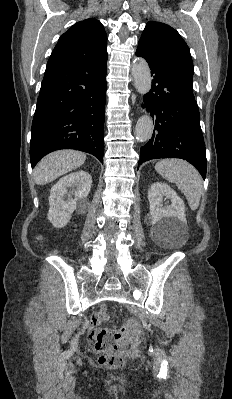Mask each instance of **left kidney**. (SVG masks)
<instances>
[{"mask_svg": "<svg viewBox=\"0 0 232 399\" xmlns=\"http://www.w3.org/2000/svg\"><path fill=\"white\" fill-rule=\"evenodd\" d=\"M163 198L171 201V205H163ZM148 200L152 215L150 235L156 243H180L187 239L188 225L185 203L168 184L155 182L152 184Z\"/></svg>", "mask_w": 232, "mask_h": 399, "instance_id": "obj_1", "label": "left kidney"}]
</instances>
